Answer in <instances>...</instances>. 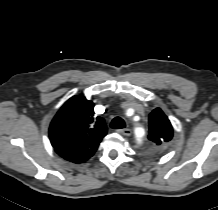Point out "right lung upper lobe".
I'll list each match as a JSON object with an SVG mask.
<instances>
[{
	"label": "right lung upper lobe",
	"instance_id": "1",
	"mask_svg": "<svg viewBox=\"0 0 218 210\" xmlns=\"http://www.w3.org/2000/svg\"><path fill=\"white\" fill-rule=\"evenodd\" d=\"M107 128L104 119L94 117V103L83 95L71 97L53 118L49 137L55 149L93 155Z\"/></svg>",
	"mask_w": 218,
	"mask_h": 210
}]
</instances>
